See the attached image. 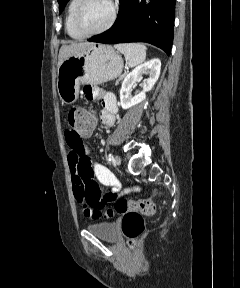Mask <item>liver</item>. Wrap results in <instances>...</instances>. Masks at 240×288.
<instances>
[{
	"label": "liver",
	"mask_w": 240,
	"mask_h": 288,
	"mask_svg": "<svg viewBox=\"0 0 240 288\" xmlns=\"http://www.w3.org/2000/svg\"><path fill=\"white\" fill-rule=\"evenodd\" d=\"M92 43L89 42H80V43H72L70 45H63L60 48L59 56H58V67L62 64V62L67 59L68 57L79 53L87 46L91 45Z\"/></svg>",
	"instance_id": "1"
}]
</instances>
